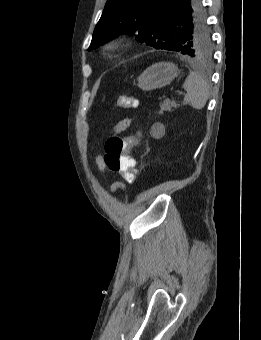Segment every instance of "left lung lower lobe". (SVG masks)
Instances as JSON below:
<instances>
[{"label": "left lung lower lobe", "instance_id": "obj_1", "mask_svg": "<svg viewBox=\"0 0 261 340\" xmlns=\"http://www.w3.org/2000/svg\"><path fill=\"white\" fill-rule=\"evenodd\" d=\"M202 0H165L161 6L160 14L164 20L175 21L181 15L192 17L197 5H202Z\"/></svg>", "mask_w": 261, "mask_h": 340}]
</instances>
